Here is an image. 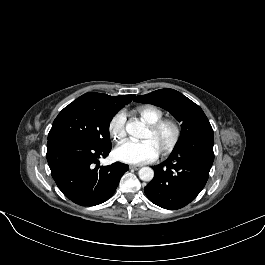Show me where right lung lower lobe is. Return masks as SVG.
Instances as JSON below:
<instances>
[{
	"label": "right lung lower lobe",
	"instance_id": "98d812e1",
	"mask_svg": "<svg viewBox=\"0 0 265 265\" xmlns=\"http://www.w3.org/2000/svg\"><path fill=\"white\" fill-rule=\"evenodd\" d=\"M110 147H96L76 137H55L47 142V161L53 179L62 193L82 206H94L109 199L120 178L128 171L126 164L115 162L100 166Z\"/></svg>",
	"mask_w": 265,
	"mask_h": 265
}]
</instances>
